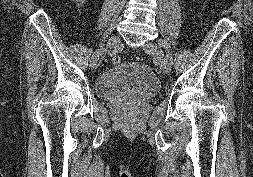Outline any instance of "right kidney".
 <instances>
[{"mask_svg": "<svg viewBox=\"0 0 253 177\" xmlns=\"http://www.w3.org/2000/svg\"><path fill=\"white\" fill-rule=\"evenodd\" d=\"M73 2H83L85 0H72Z\"/></svg>", "mask_w": 253, "mask_h": 177, "instance_id": "1", "label": "right kidney"}]
</instances>
